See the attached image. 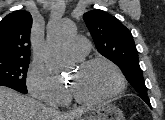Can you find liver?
Instances as JSON below:
<instances>
[{
  "instance_id": "liver-1",
  "label": "liver",
  "mask_w": 165,
  "mask_h": 120,
  "mask_svg": "<svg viewBox=\"0 0 165 120\" xmlns=\"http://www.w3.org/2000/svg\"><path fill=\"white\" fill-rule=\"evenodd\" d=\"M85 110L60 114L39 101L0 86V120H75Z\"/></svg>"
}]
</instances>
